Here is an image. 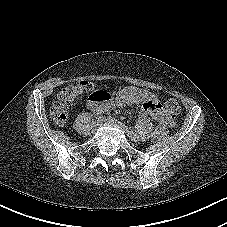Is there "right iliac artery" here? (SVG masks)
<instances>
[{
    "label": "right iliac artery",
    "mask_w": 227,
    "mask_h": 227,
    "mask_svg": "<svg viewBox=\"0 0 227 227\" xmlns=\"http://www.w3.org/2000/svg\"><path fill=\"white\" fill-rule=\"evenodd\" d=\"M102 112H97L95 113V116L98 117L99 115H101Z\"/></svg>",
    "instance_id": "1"
}]
</instances>
